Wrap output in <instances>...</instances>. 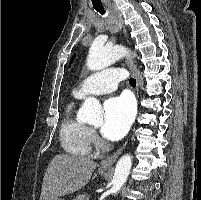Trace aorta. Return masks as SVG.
Masks as SVG:
<instances>
[{"label": "aorta", "mask_w": 201, "mask_h": 200, "mask_svg": "<svg viewBox=\"0 0 201 200\" xmlns=\"http://www.w3.org/2000/svg\"><path fill=\"white\" fill-rule=\"evenodd\" d=\"M126 54L127 50L121 45L107 47L95 41L89 49L86 65L92 71L101 70L121 59ZM81 115L88 123H101L102 113L100 102L94 97L87 98L81 108ZM131 166L132 158L130 155H124L119 159L112 180V193L116 194L125 184Z\"/></svg>", "instance_id": "aorta-1"}]
</instances>
